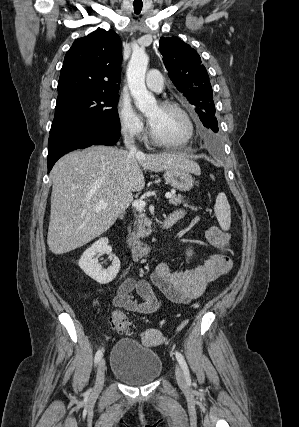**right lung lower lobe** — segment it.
I'll use <instances>...</instances> for the list:
<instances>
[{
    "label": "right lung lower lobe",
    "mask_w": 299,
    "mask_h": 427,
    "mask_svg": "<svg viewBox=\"0 0 299 427\" xmlns=\"http://www.w3.org/2000/svg\"><path fill=\"white\" fill-rule=\"evenodd\" d=\"M120 137L118 130L99 127L74 125L50 133L48 142V172L64 154L86 148L91 145H113Z\"/></svg>",
    "instance_id": "obj_1"
}]
</instances>
